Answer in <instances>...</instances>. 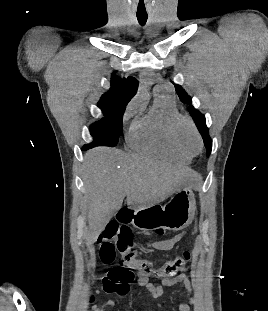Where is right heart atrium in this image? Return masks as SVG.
<instances>
[{"instance_id":"obj_1","label":"right heart atrium","mask_w":268,"mask_h":311,"mask_svg":"<svg viewBox=\"0 0 268 311\" xmlns=\"http://www.w3.org/2000/svg\"><path fill=\"white\" fill-rule=\"evenodd\" d=\"M136 108L135 104H132L131 107L129 108V113L132 112Z\"/></svg>"}]
</instances>
